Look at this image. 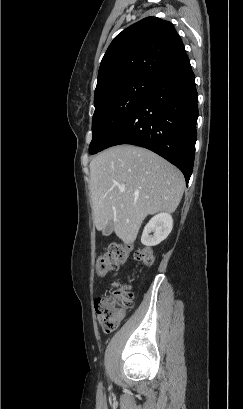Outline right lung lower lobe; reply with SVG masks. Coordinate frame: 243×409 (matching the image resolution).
Listing matches in <instances>:
<instances>
[{
	"instance_id": "98d812e1",
	"label": "right lung lower lobe",
	"mask_w": 243,
	"mask_h": 409,
	"mask_svg": "<svg viewBox=\"0 0 243 409\" xmlns=\"http://www.w3.org/2000/svg\"><path fill=\"white\" fill-rule=\"evenodd\" d=\"M197 100L195 76L185 55L157 80L105 149L119 144L147 148L177 166L188 184L197 137Z\"/></svg>"
}]
</instances>
